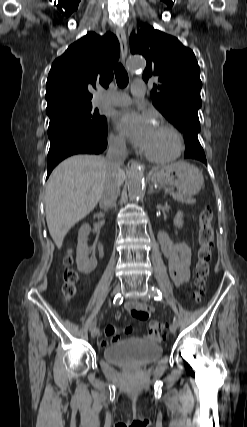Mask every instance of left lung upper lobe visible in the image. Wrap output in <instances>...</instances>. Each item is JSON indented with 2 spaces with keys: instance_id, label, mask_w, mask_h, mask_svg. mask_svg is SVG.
<instances>
[{
  "instance_id": "5c2ea615",
  "label": "left lung upper lobe",
  "mask_w": 247,
  "mask_h": 427,
  "mask_svg": "<svg viewBox=\"0 0 247 427\" xmlns=\"http://www.w3.org/2000/svg\"><path fill=\"white\" fill-rule=\"evenodd\" d=\"M132 54L146 58L143 79H158L151 91L154 106L182 133L200 132V68L193 51L175 37L145 26L130 36Z\"/></svg>"
}]
</instances>
